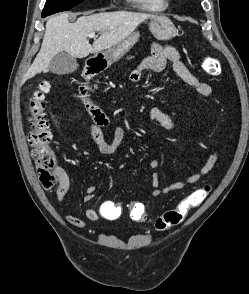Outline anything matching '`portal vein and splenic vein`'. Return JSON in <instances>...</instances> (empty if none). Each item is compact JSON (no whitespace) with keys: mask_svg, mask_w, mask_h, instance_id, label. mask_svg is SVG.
Instances as JSON below:
<instances>
[{"mask_svg":"<svg viewBox=\"0 0 249 294\" xmlns=\"http://www.w3.org/2000/svg\"><path fill=\"white\" fill-rule=\"evenodd\" d=\"M89 36L94 38L95 37V33L92 32V33L89 34Z\"/></svg>","mask_w":249,"mask_h":294,"instance_id":"portal-vein-and-splenic-vein-1","label":"portal vein and splenic vein"}]
</instances>
